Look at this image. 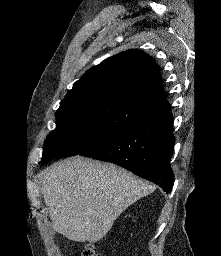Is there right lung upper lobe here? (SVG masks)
<instances>
[{
  "label": "right lung upper lobe",
  "mask_w": 221,
  "mask_h": 256,
  "mask_svg": "<svg viewBox=\"0 0 221 256\" xmlns=\"http://www.w3.org/2000/svg\"><path fill=\"white\" fill-rule=\"evenodd\" d=\"M102 105L141 114L143 120L170 111L154 60L134 49L105 59L73 85L57 112Z\"/></svg>",
  "instance_id": "cb5924a9"
}]
</instances>
